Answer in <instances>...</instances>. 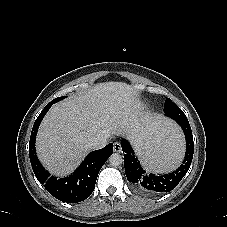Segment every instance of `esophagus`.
<instances>
[{
    "instance_id": "obj_1",
    "label": "esophagus",
    "mask_w": 227,
    "mask_h": 227,
    "mask_svg": "<svg viewBox=\"0 0 227 227\" xmlns=\"http://www.w3.org/2000/svg\"><path fill=\"white\" fill-rule=\"evenodd\" d=\"M122 148H121V144L119 142H115L114 143V151L115 152H121Z\"/></svg>"
}]
</instances>
